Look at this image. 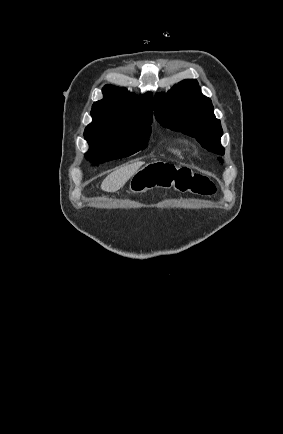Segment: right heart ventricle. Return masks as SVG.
I'll return each mask as SVG.
<instances>
[{
	"instance_id": "obj_1",
	"label": "right heart ventricle",
	"mask_w": 283,
	"mask_h": 434,
	"mask_svg": "<svg viewBox=\"0 0 283 434\" xmlns=\"http://www.w3.org/2000/svg\"><path fill=\"white\" fill-rule=\"evenodd\" d=\"M170 151H171L173 154H175V155H177V156H179V157H182V156H183V151H182L181 149H179V148L172 147V148H170Z\"/></svg>"
}]
</instances>
